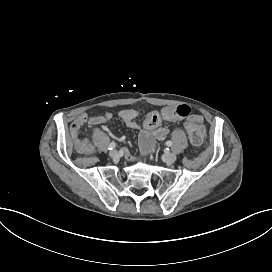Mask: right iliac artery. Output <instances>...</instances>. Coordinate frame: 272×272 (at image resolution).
I'll list each match as a JSON object with an SVG mask.
<instances>
[{"mask_svg":"<svg viewBox=\"0 0 272 272\" xmlns=\"http://www.w3.org/2000/svg\"><path fill=\"white\" fill-rule=\"evenodd\" d=\"M116 147V143L115 142H111L108 146V150H112L113 148Z\"/></svg>","mask_w":272,"mask_h":272,"instance_id":"82829eb1","label":"right iliac artery"}]
</instances>
